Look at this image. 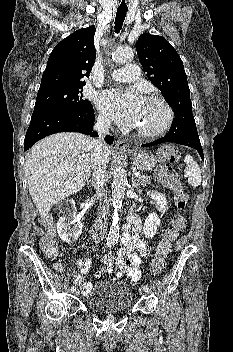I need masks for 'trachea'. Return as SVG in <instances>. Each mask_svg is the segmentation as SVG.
I'll use <instances>...</instances> for the list:
<instances>
[{"label": "trachea", "instance_id": "3493384b", "mask_svg": "<svg viewBox=\"0 0 233 352\" xmlns=\"http://www.w3.org/2000/svg\"><path fill=\"white\" fill-rule=\"evenodd\" d=\"M127 11H128V8H120V7L117 8L116 17H115V26H114L116 33H119L120 30L122 29V25L125 20Z\"/></svg>", "mask_w": 233, "mask_h": 352}]
</instances>
